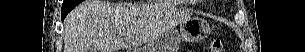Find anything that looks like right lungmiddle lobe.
<instances>
[{
  "mask_svg": "<svg viewBox=\"0 0 305 52\" xmlns=\"http://www.w3.org/2000/svg\"><path fill=\"white\" fill-rule=\"evenodd\" d=\"M83 0H65L64 1V4H69V5H73V4H75V5H77V4H79L80 2H82Z\"/></svg>",
  "mask_w": 305,
  "mask_h": 52,
  "instance_id": "1",
  "label": "right lung middle lobe"
}]
</instances>
